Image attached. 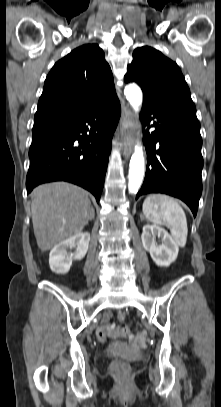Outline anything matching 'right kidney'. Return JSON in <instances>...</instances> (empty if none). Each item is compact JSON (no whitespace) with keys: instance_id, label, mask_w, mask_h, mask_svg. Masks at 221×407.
Here are the masks:
<instances>
[{"instance_id":"right-kidney-1","label":"right kidney","mask_w":221,"mask_h":407,"mask_svg":"<svg viewBox=\"0 0 221 407\" xmlns=\"http://www.w3.org/2000/svg\"><path fill=\"white\" fill-rule=\"evenodd\" d=\"M89 242L90 234L82 232L56 244L49 254L50 269L56 274H66L73 260H81L85 257ZM73 247H76L75 253H67Z\"/></svg>"}]
</instances>
